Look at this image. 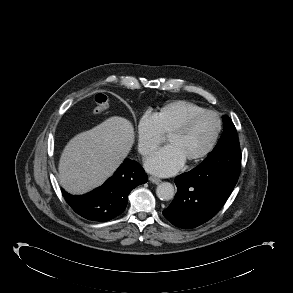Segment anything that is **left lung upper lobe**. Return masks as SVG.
I'll list each match as a JSON object with an SVG mask.
<instances>
[{"label": "left lung upper lobe", "mask_w": 293, "mask_h": 293, "mask_svg": "<svg viewBox=\"0 0 293 293\" xmlns=\"http://www.w3.org/2000/svg\"><path fill=\"white\" fill-rule=\"evenodd\" d=\"M236 149H240L237 131L231 118L225 115L223 116V134L216 147L201 163V165L215 164L219 162L228 152Z\"/></svg>", "instance_id": "5c2ea615"}]
</instances>
